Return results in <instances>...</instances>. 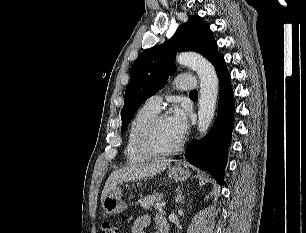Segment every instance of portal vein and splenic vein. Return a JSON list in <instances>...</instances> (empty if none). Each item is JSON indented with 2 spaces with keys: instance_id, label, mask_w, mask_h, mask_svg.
I'll list each match as a JSON object with an SVG mask.
<instances>
[{
  "instance_id": "obj_1",
  "label": "portal vein and splenic vein",
  "mask_w": 306,
  "mask_h": 233,
  "mask_svg": "<svg viewBox=\"0 0 306 233\" xmlns=\"http://www.w3.org/2000/svg\"><path fill=\"white\" fill-rule=\"evenodd\" d=\"M166 205V202H157L155 205L156 209H160Z\"/></svg>"
}]
</instances>
